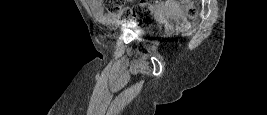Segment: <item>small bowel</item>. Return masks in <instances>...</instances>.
<instances>
[{
  "mask_svg": "<svg viewBox=\"0 0 267 115\" xmlns=\"http://www.w3.org/2000/svg\"><path fill=\"white\" fill-rule=\"evenodd\" d=\"M89 7L91 8L92 12L100 19H108V16L106 15L104 8L100 1L98 0H88L87 1ZM166 10H172L176 11L177 6L171 2H160L155 6V12L156 13H163Z\"/></svg>",
  "mask_w": 267,
  "mask_h": 115,
  "instance_id": "1",
  "label": "small bowel"
}]
</instances>
